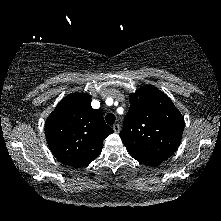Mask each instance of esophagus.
Here are the masks:
<instances>
[{"mask_svg":"<svg viewBox=\"0 0 221 221\" xmlns=\"http://www.w3.org/2000/svg\"><path fill=\"white\" fill-rule=\"evenodd\" d=\"M112 128H113V130H114L115 133H119V131H120V126H119V124H114V125L112 126Z\"/></svg>","mask_w":221,"mask_h":221,"instance_id":"34e87169","label":"esophagus"}]
</instances>
